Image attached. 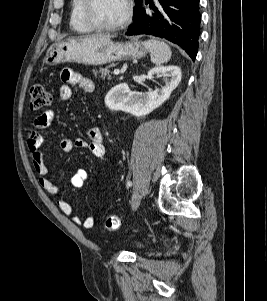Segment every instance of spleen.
Instances as JSON below:
<instances>
[{
  "label": "spleen",
  "instance_id": "spleen-1",
  "mask_svg": "<svg viewBox=\"0 0 267 301\" xmlns=\"http://www.w3.org/2000/svg\"><path fill=\"white\" fill-rule=\"evenodd\" d=\"M143 45L150 52L151 61L154 64L161 65L171 59L172 51L165 42L147 40L143 42Z\"/></svg>",
  "mask_w": 267,
  "mask_h": 301
}]
</instances>
